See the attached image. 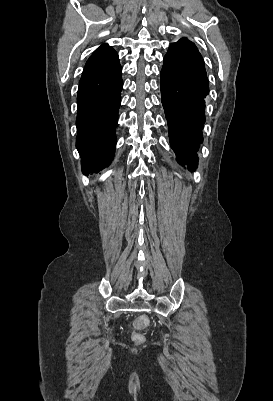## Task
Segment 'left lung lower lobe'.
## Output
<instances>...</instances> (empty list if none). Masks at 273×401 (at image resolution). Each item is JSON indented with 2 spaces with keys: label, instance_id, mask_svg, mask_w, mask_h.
<instances>
[{
  "label": "left lung lower lobe",
  "instance_id": "left-lung-lower-lobe-1",
  "mask_svg": "<svg viewBox=\"0 0 273 401\" xmlns=\"http://www.w3.org/2000/svg\"><path fill=\"white\" fill-rule=\"evenodd\" d=\"M160 87L171 148L177 161L193 171L198 163L196 152L203 141L204 98L209 93L204 60L194 43L183 38L170 45Z\"/></svg>",
  "mask_w": 273,
  "mask_h": 401
}]
</instances>
